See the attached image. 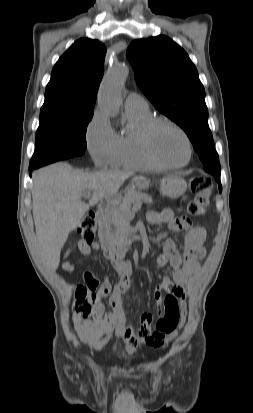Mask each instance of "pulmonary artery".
<instances>
[{
    "label": "pulmonary artery",
    "instance_id": "obj_1",
    "mask_svg": "<svg viewBox=\"0 0 253 413\" xmlns=\"http://www.w3.org/2000/svg\"><path fill=\"white\" fill-rule=\"evenodd\" d=\"M125 109L127 110H136V111H145L148 110V104L146 100L136 94V93H130L124 103Z\"/></svg>",
    "mask_w": 253,
    "mask_h": 413
}]
</instances>
